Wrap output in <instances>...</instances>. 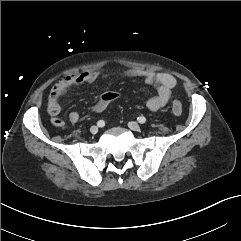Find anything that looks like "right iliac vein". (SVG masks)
Listing matches in <instances>:
<instances>
[{
	"label": "right iliac vein",
	"mask_w": 241,
	"mask_h": 241,
	"mask_svg": "<svg viewBox=\"0 0 241 241\" xmlns=\"http://www.w3.org/2000/svg\"><path fill=\"white\" fill-rule=\"evenodd\" d=\"M90 132H91L93 135H95V134L98 132V127H97V126H92V127L90 128Z\"/></svg>",
	"instance_id": "obj_1"
}]
</instances>
